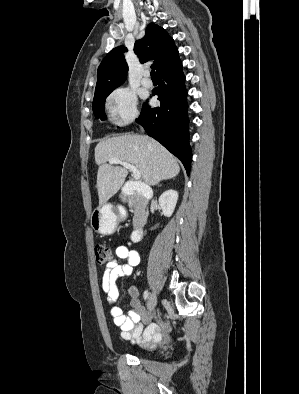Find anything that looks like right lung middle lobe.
I'll return each mask as SVG.
<instances>
[{
	"label": "right lung middle lobe",
	"mask_w": 299,
	"mask_h": 394,
	"mask_svg": "<svg viewBox=\"0 0 299 394\" xmlns=\"http://www.w3.org/2000/svg\"><path fill=\"white\" fill-rule=\"evenodd\" d=\"M113 90L114 89L103 90L95 93L92 109L96 118H100L101 120L107 118L104 110L105 99Z\"/></svg>",
	"instance_id": "obj_1"
}]
</instances>
